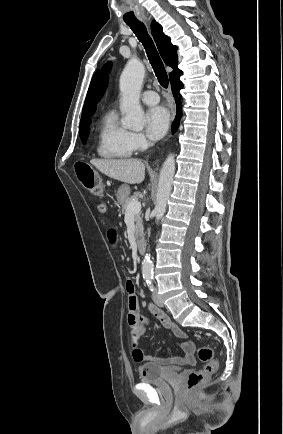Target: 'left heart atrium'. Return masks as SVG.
I'll use <instances>...</instances> for the list:
<instances>
[{
    "label": "left heart atrium",
    "instance_id": "left-heart-atrium-1",
    "mask_svg": "<svg viewBox=\"0 0 283 434\" xmlns=\"http://www.w3.org/2000/svg\"><path fill=\"white\" fill-rule=\"evenodd\" d=\"M170 116L167 109L157 106L149 109L146 114V129L152 139H160L169 127Z\"/></svg>",
    "mask_w": 283,
    "mask_h": 434
}]
</instances>
